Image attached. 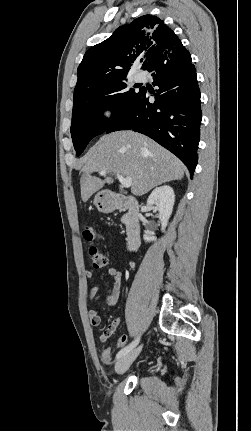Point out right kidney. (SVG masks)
<instances>
[{"label": "right kidney", "mask_w": 251, "mask_h": 431, "mask_svg": "<svg viewBox=\"0 0 251 431\" xmlns=\"http://www.w3.org/2000/svg\"><path fill=\"white\" fill-rule=\"evenodd\" d=\"M175 202V194L173 189L168 186H160L152 191L147 199V205L152 206L154 212H159V219L161 221V230L164 232L168 220L172 214L173 206ZM146 242L155 241L156 238L148 234L143 236Z\"/></svg>", "instance_id": "ca27d5eb"}]
</instances>
